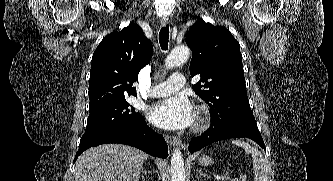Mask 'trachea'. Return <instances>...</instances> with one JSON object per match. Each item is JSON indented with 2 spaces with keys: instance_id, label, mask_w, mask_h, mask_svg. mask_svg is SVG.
I'll list each match as a JSON object with an SVG mask.
<instances>
[{
  "instance_id": "trachea-1",
  "label": "trachea",
  "mask_w": 333,
  "mask_h": 181,
  "mask_svg": "<svg viewBox=\"0 0 333 181\" xmlns=\"http://www.w3.org/2000/svg\"><path fill=\"white\" fill-rule=\"evenodd\" d=\"M168 41H169V26L166 25L165 27H162L159 32V43L162 50L168 49Z\"/></svg>"
}]
</instances>
